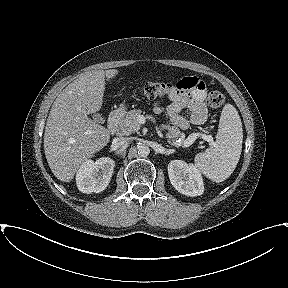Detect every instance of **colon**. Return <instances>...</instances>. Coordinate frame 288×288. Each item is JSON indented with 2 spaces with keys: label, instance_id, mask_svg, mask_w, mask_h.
<instances>
[{
  "label": "colon",
  "instance_id": "5ec220e1",
  "mask_svg": "<svg viewBox=\"0 0 288 288\" xmlns=\"http://www.w3.org/2000/svg\"><path fill=\"white\" fill-rule=\"evenodd\" d=\"M178 84L148 82L141 88V94L145 99L154 100L171 95L179 90ZM225 102L224 95L220 91H211L207 103L211 108H219Z\"/></svg>",
  "mask_w": 288,
  "mask_h": 288
}]
</instances>
